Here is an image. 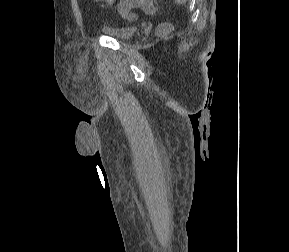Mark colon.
Returning <instances> with one entry per match:
<instances>
[{
	"instance_id": "1",
	"label": "colon",
	"mask_w": 289,
	"mask_h": 252,
	"mask_svg": "<svg viewBox=\"0 0 289 252\" xmlns=\"http://www.w3.org/2000/svg\"><path fill=\"white\" fill-rule=\"evenodd\" d=\"M140 7L147 13H152L155 10L152 0H120L117 9L124 17H131V10ZM170 30L167 24H162L158 27L157 33L161 36L166 35Z\"/></svg>"
}]
</instances>
